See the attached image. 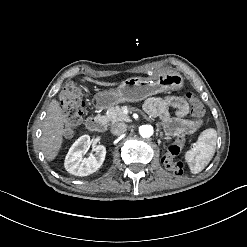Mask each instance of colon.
Listing matches in <instances>:
<instances>
[{
	"mask_svg": "<svg viewBox=\"0 0 247 247\" xmlns=\"http://www.w3.org/2000/svg\"><path fill=\"white\" fill-rule=\"evenodd\" d=\"M188 101L192 107V116L200 118L203 115L204 107L198 97L192 93L187 94ZM61 108L66 123L67 131L66 137L70 138L76 131V128L82 123L83 119V99L79 88L72 83L67 84L60 94ZM183 129L185 132L190 133L193 131L194 126L192 123L187 122L184 124ZM186 135L184 132L179 131L176 133V140L172 146V151L167 154V159L162 161L164 168L174 174L182 175L185 173L184 163L176 158L180 153L182 143Z\"/></svg>",
	"mask_w": 247,
	"mask_h": 247,
	"instance_id": "1",
	"label": "colon"
}]
</instances>
